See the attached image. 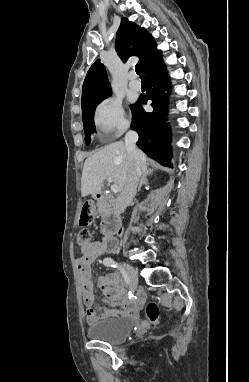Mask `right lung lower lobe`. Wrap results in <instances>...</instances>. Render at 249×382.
Returning a JSON list of instances; mask_svg holds the SVG:
<instances>
[{"mask_svg":"<svg viewBox=\"0 0 249 382\" xmlns=\"http://www.w3.org/2000/svg\"><path fill=\"white\" fill-rule=\"evenodd\" d=\"M149 80L150 89L144 96H140L132 109L131 127L139 134L137 146L149 157L159 161L165 166H171L169 133L165 126L167 97L163 91L169 90V79L162 64L161 55L156 58L144 72ZM152 100L153 111L148 113L141 104Z\"/></svg>","mask_w":249,"mask_h":382,"instance_id":"1","label":"right lung lower lobe"}]
</instances>
